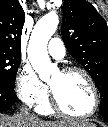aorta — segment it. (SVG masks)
<instances>
[{
  "mask_svg": "<svg viewBox=\"0 0 108 127\" xmlns=\"http://www.w3.org/2000/svg\"><path fill=\"white\" fill-rule=\"evenodd\" d=\"M59 23L58 15L51 12L42 17L34 26L28 44V59L40 79L47 81L55 67L50 62L47 51L49 39Z\"/></svg>",
  "mask_w": 108,
  "mask_h": 127,
  "instance_id": "1",
  "label": "aorta"
}]
</instances>
